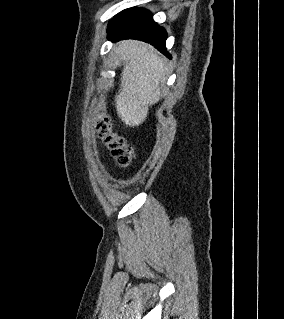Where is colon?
<instances>
[{
    "mask_svg": "<svg viewBox=\"0 0 284 319\" xmlns=\"http://www.w3.org/2000/svg\"><path fill=\"white\" fill-rule=\"evenodd\" d=\"M95 130L114 161L121 167H128L134 158V148L112 130L110 120L106 117L98 118L95 121Z\"/></svg>",
    "mask_w": 284,
    "mask_h": 319,
    "instance_id": "5ec220e1",
    "label": "colon"
}]
</instances>
